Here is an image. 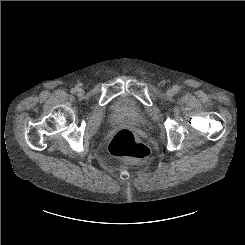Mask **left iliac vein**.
<instances>
[{
    "label": "left iliac vein",
    "mask_w": 245,
    "mask_h": 245,
    "mask_svg": "<svg viewBox=\"0 0 245 245\" xmlns=\"http://www.w3.org/2000/svg\"><path fill=\"white\" fill-rule=\"evenodd\" d=\"M173 94H174V92H173L172 89H169V90L167 91V95H168V96H173Z\"/></svg>",
    "instance_id": "4c4485c4"
}]
</instances>
